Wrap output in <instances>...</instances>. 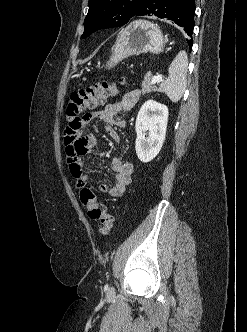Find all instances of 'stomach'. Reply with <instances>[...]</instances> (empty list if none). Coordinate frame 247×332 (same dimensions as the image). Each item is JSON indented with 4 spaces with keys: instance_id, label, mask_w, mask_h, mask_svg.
<instances>
[{
    "instance_id": "stomach-1",
    "label": "stomach",
    "mask_w": 247,
    "mask_h": 332,
    "mask_svg": "<svg viewBox=\"0 0 247 332\" xmlns=\"http://www.w3.org/2000/svg\"><path fill=\"white\" fill-rule=\"evenodd\" d=\"M165 40L159 27L146 20L130 23L120 34L113 47L106 68L115 67L125 58L151 52H163Z\"/></svg>"
}]
</instances>
